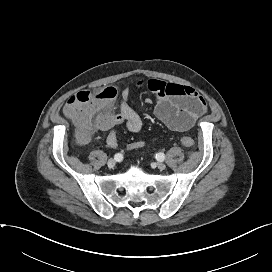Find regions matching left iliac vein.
Segmentation results:
<instances>
[{"label": "left iliac vein", "instance_id": "4c4485c4", "mask_svg": "<svg viewBox=\"0 0 272 272\" xmlns=\"http://www.w3.org/2000/svg\"><path fill=\"white\" fill-rule=\"evenodd\" d=\"M156 166L159 170H164L166 168V165L162 162L156 163Z\"/></svg>", "mask_w": 272, "mask_h": 272}]
</instances>
